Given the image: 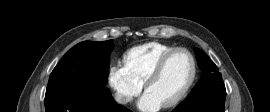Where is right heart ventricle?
<instances>
[{
	"mask_svg": "<svg viewBox=\"0 0 270 112\" xmlns=\"http://www.w3.org/2000/svg\"><path fill=\"white\" fill-rule=\"evenodd\" d=\"M173 48L175 46L155 41L135 46L124 54V65L138 82L144 84L157 61Z\"/></svg>",
	"mask_w": 270,
	"mask_h": 112,
	"instance_id": "obj_1",
	"label": "right heart ventricle"
}]
</instances>
